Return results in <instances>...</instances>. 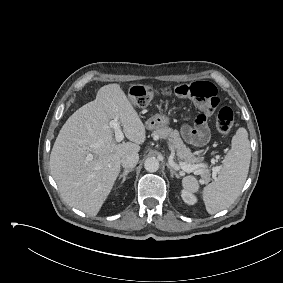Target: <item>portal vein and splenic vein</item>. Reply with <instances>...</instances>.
Wrapping results in <instances>:
<instances>
[{"instance_id":"portal-vein-and-splenic-vein-1","label":"portal vein and splenic vein","mask_w":283,"mask_h":283,"mask_svg":"<svg viewBox=\"0 0 283 283\" xmlns=\"http://www.w3.org/2000/svg\"><path fill=\"white\" fill-rule=\"evenodd\" d=\"M109 126L114 129L116 142H121L124 138V134H123L121 127L118 123V119L115 118L114 120H111L109 122ZM180 167L183 171H185L187 173H191V172L196 170V166L186 164V163H180ZM212 171H213V173L216 174L219 171V167H213Z\"/></svg>"}]
</instances>
